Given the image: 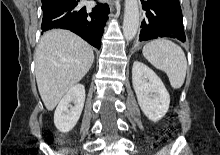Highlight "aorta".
Returning a JSON list of instances; mask_svg holds the SVG:
<instances>
[{
    "label": "aorta",
    "instance_id": "1",
    "mask_svg": "<svg viewBox=\"0 0 220 155\" xmlns=\"http://www.w3.org/2000/svg\"><path fill=\"white\" fill-rule=\"evenodd\" d=\"M139 20L138 0H125L123 35L127 41L132 40L136 36Z\"/></svg>",
    "mask_w": 220,
    "mask_h": 155
}]
</instances>
